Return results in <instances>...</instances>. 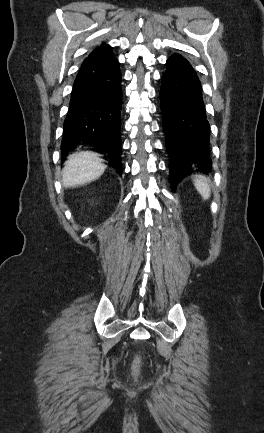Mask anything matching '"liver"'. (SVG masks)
<instances>
[{"label": "liver", "instance_id": "obj_1", "mask_svg": "<svg viewBox=\"0 0 264 433\" xmlns=\"http://www.w3.org/2000/svg\"><path fill=\"white\" fill-rule=\"evenodd\" d=\"M99 155L93 152H79L68 157L62 170L64 187H77L98 179L105 171Z\"/></svg>", "mask_w": 264, "mask_h": 433}]
</instances>
